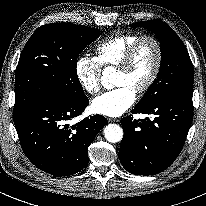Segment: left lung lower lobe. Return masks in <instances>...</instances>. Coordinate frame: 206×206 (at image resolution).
<instances>
[{
  "label": "left lung lower lobe",
  "instance_id": "0a47b994",
  "mask_svg": "<svg viewBox=\"0 0 206 206\" xmlns=\"http://www.w3.org/2000/svg\"><path fill=\"white\" fill-rule=\"evenodd\" d=\"M133 114L153 115L121 120L124 136L119 159L135 175H153L168 168L180 154L193 118L192 95H175L147 106H135Z\"/></svg>",
  "mask_w": 206,
  "mask_h": 206
}]
</instances>
